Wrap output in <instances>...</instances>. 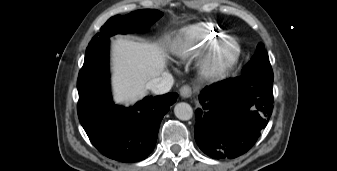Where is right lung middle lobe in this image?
Instances as JSON below:
<instances>
[{"mask_svg":"<svg viewBox=\"0 0 337 171\" xmlns=\"http://www.w3.org/2000/svg\"><path fill=\"white\" fill-rule=\"evenodd\" d=\"M162 12L152 9H142L133 11L127 15H117L111 17L91 40L88 47L93 44L97 39L109 38L118 33H127L134 31H146L156 22L161 16Z\"/></svg>","mask_w":337,"mask_h":171,"instance_id":"dd1d6c3e","label":"right lung middle lobe"}]
</instances>
